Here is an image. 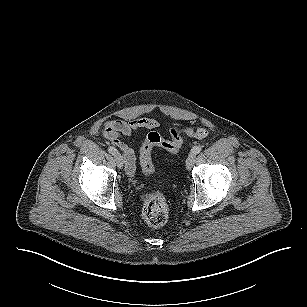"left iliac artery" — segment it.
<instances>
[{"label":"left iliac artery","instance_id":"44dca946","mask_svg":"<svg viewBox=\"0 0 307 307\" xmlns=\"http://www.w3.org/2000/svg\"><path fill=\"white\" fill-rule=\"evenodd\" d=\"M202 150V147L200 145L198 146H194L192 149H191V152L194 153L195 155L200 153Z\"/></svg>","mask_w":307,"mask_h":307}]
</instances>
